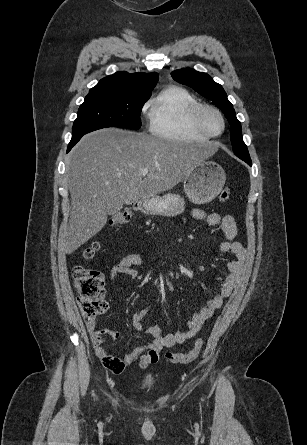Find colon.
Returning <instances> with one entry per match:
<instances>
[{
  "label": "colon",
  "mask_w": 307,
  "mask_h": 445,
  "mask_svg": "<svg viewBox=\"0 0 307 445\" xmlns=\"http://www.w3.org/2000/svg\"><path fill=\"white\" fill-rule=\"evenodd\" d=\"M230 197V189H222L219 199L226 202ZM130 220V213L123 211L117 213L112 223L114 226H120L128 223ZM98 242H92L81 251V256L85 260H90L99 250ZM72 276L74 280V287L78 294V304L81 313L86 322L95 320V318L104 313L107 309V303L104 296V276L99 271L89 269L80 265L74 266L72 269ZM203 345V340L198 338L193 347L181 353L168 352L166 359L171 363L188 364L193 362L200 354Z\"/></svg>",
  "instance_id": "colon-1"
}]
</instances>
